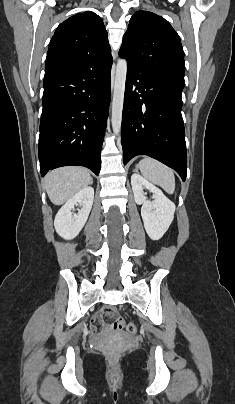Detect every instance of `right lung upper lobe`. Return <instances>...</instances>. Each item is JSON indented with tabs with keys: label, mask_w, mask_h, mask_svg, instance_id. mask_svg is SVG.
Segmentation results:
<instances>
[{
	"label": "right lung upper lobe",
	"mask_w": 235,
	"mask_h": 404,
	"mask_svg": "<svg viewBox=\"0 0 235 404\" xmlns=\"http://www.w3.org/2000/svg\"><path fill=\"white\" fill-rule=\"evenodd\" d=\"M112 62L108 35L101 17L86 11L68 18L56 29L48 47L44 79Z\"/></svg>",
	"instance_id": "1"
}]
</instances>
